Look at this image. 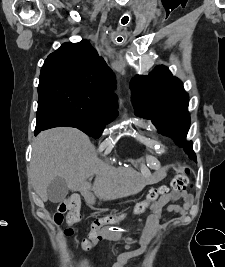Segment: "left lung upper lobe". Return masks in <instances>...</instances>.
<instances>
[{
    "mask_svg": "<svg viewBox=\"0 0 225 267\" xmlns=\"http://www.w3.org/2000/svg\"><path fill=\"white\" fill-rule=\"evenodd\" d=\"M136 115L151 119L159 132L171 137L196 161L192 142H186L190 127L189 97L182 82L166 66H157L149 75H136L130 82Z\"/></svg>",
    "mask_w": 225,
    "mask_h": 267,
    "instance_id": "5c2ea615",
    "label": "left lung upper lobe"
}]
</instances>
